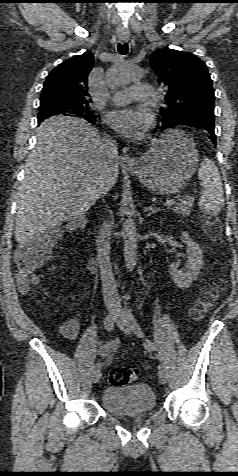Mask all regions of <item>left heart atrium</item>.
I'll return each instance as SVG.
<instances>
[{"label": "left heart atrium", "instance_id": "obj_1", "mask_svg": "<svg viewBox=\"0 0 238 476\" xmlns=\"http://www.w3.org/2000/svg\"><path fill=\"white\" fill-rule=\"evenodd\" d=\"M106 123L121 135L141 138L152 124V116L143 107H127L109 112Z\"/></svg>", "mask_w": 238, "mask_h": 476}]
</instances>
